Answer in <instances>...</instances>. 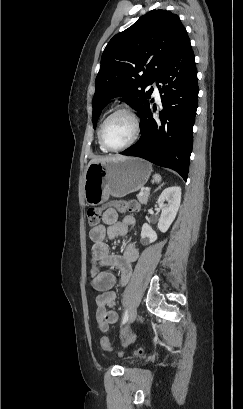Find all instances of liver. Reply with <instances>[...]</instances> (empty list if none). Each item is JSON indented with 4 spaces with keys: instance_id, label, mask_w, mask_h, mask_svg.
I'll list each match as a JSON object with an SVG mask.
<instances>
[{
    "instance_id": "6515ba94",
    "label": "liver",
    "mask_w": 243,
    "mask_h": 409,
    "mask_svg": "<svg viewBox=\"0 0 243 409\" xmlns=\"http://www.w3.org/2000/svg\"><path fill=\"white\" fill-rule=\"evenodd\" d=\"M111 159H113V158H112V157L96 158V159L91 160L90 163H93V162H104V161H108V160H111Z\"/></svg>"
}]
</instances>
